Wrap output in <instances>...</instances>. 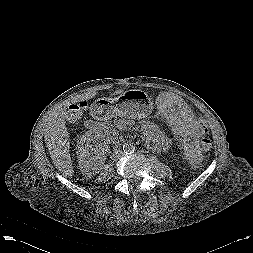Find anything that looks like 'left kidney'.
Returning <instances> with one entry per match:
<instances>
[{"mask_svg": "<svg viewBox=\"0 0 253 253\" xmlns=\"http://www.w3.org/2000/svg\"><path fill=\"white\" fill-rule=\"evenodd\" d=\"M142 136L145 142L151 146V148L153 147L155 149L154 151L168 148V138L165 136L164 132L152 122H146L143 125Z\"/></svg>", "mask_w": 253, "mask_h": 253, "instance_id": "obj_1", "label": "left kidney"}]
</instances>
